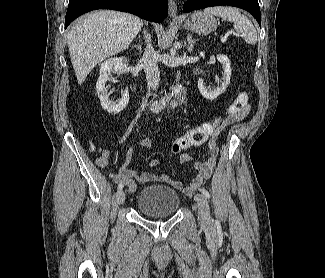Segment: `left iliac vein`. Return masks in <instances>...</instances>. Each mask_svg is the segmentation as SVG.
Here are the masks:
<instances>
[{
  "instance_id": "1",
  "label": "left iliac vein",
  "mask_w": 325,
  "mask_h": 278,
  "mask_svg": "<svg viewBox=\"0 0 325 278\" xmlns=\"http://www.w3.org/2000/svg\"><path fill=\"white\" fill-rule=\"evenodd\" d=\"M194 200L198 206V219L200 223L209 224L211 222L210 209L205 196L198 193L194 196Z\"/></svg>"
}]
</instances>
